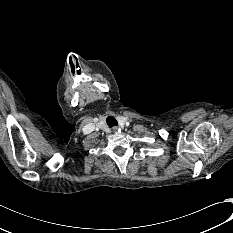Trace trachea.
I'll use <instances>...</instances> for the list:
<instances>
[{
    "label": "trachea",
    "instance_id": "obj_1",
    "mask_svg": "<svg viewBox=\"0 0 233 233\" xmlns=\"http://www.w3.org/2000/svg\"><path fill=\"white\" fill-rule=\"evenodd\" d=\"M107 123L110 127L117 125V121L113 117H108Z\"/></svg>",
    "mask_w": 233,
    "mask_h": 233
}]
</instances>
